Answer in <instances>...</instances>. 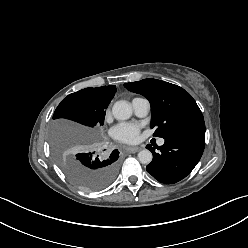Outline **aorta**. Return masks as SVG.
<instances>
[{
  "instance_id": "1",
  "label": "aorta",
  "mask_w": 248,
  "mask_h": 248,
  "mask_svg": "<svg viewBox=\"0 0 248 248\" xmlns=\"http://www.w3.org/2000/svg\"><path fill=\"white\" fill-rule=\"evenodd\" d=\"M112 114L117 120H127L132 116V108L127 101H117L112 107ZM138 160L142 164H149L152 161V153L144 149L138 153Z\"/></svg>"
}]
</instances>
